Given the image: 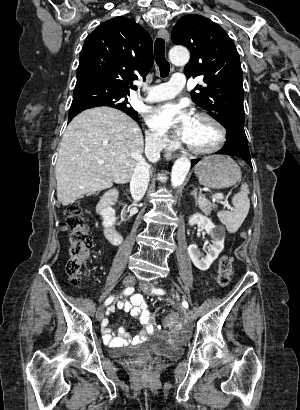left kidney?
<instances>
[{
  "mask_svg": "<svg viewBox=\"0 0 300 410\" xmlns=\"http://www.w3.org/2000/svg\"><path fill=\"white\" fill-rule=\"evenodd\" d=\"M202 226L212 238V245L207 247L205 257H201L200 251L196 244H191L188 247V254L193 264L200 270L209 269L210 265L224 249L225 232L222 228L216 227L210 218L196 213L189 218V225Z\"/></svg>",
  "mask_w": 300,
  "mask_h": 410,
  "instance_id": "left-kidney-1",
  "label": "left kidney"
}]
</instances>
